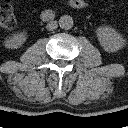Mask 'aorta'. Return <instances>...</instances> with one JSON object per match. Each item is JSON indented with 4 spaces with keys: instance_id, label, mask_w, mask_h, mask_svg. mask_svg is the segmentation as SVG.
<instances>
[{
    "instance_id": "aorta-1",
    "label": "aorta",
    "mask_w": 128,
    "mask_h": 128,
    "mask_svg": "<svg viewBox=\"0 0 128 128\" xmlns=\"http://www.w3.org/2000/svg\"><path fill=\"white\" fill-rule=\"evenodd\" d=\"M59 26L63 30H69L73 27V18L70 15H63L59 19Z\"/></svg>"
}]
</instances>
